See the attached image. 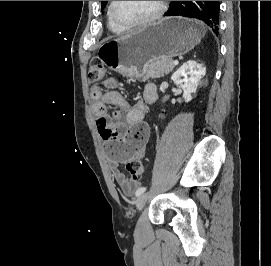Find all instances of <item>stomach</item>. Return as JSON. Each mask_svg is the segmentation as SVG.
Here are the masks:
<instances>
[{"mask_svg":"<svg viewBox=\"0 0 271 266\" xmlns=\"http://www.w3.org/2000/svg\"><path fill=\"white\" fill-rule=\"evenodd\" d=\"M204 36L202 24L180 17L165 18L126 38L110 40L98 51L101 62L126 77L142 78L150 60L186 54Z\"/></svg>","mask_w":271,"mask_h":266,"instance_id":"0dacf381","label":"stomach"}]
</instances>
